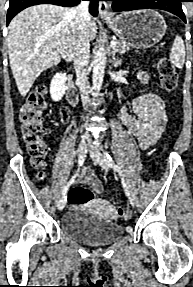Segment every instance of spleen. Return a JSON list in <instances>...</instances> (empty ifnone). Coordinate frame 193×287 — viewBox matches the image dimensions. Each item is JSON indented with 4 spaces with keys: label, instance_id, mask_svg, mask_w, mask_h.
Wrapping results in <instances>:
<instances>
[{
    "label": "spleen",
    "instance_id": "3e777b00",
    "mask_svg": "<svg viewBox=\"0 0 193 287\" xmlns=\"http://www.w3.org/2000/svg\"><path fill=\"white\" fill-rule=\"evenodd\" d=\"M170 61L177 68L181 69L185 62V45L182 38L179 35H176L171 53Z\"/></svg>",
    "mask_w": 193,
    "mask_h": 287
}]
</instances>
